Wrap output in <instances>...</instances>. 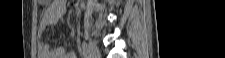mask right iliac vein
Here are the masks:
<instances>
[{
	"instance_id": "63e3f726",
	"label": "right iliac vein",
	"mask_w": 225,
	"mask_h": 58,
	"mask_svg": "<svg viewBox=\"0 0 225 58\" xmlns=\"http://www.w3.org/2000/svg\"><path fill=\"white\" fill-rule=\"evenodd\" d=\"M88 55L90 58H99L100 53L97 46L93 42H89L87 45Z\"/></svg>"
}]
</instances>
